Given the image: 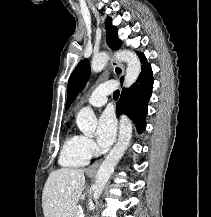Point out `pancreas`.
<instances>
[{
  "label": "pancreas",
  "mask_w": 211,
  "mask_h": 217,
  "mask_svg": "<svg viewBox=\"0 0 211 217\" xmlns=\"http://www.w3.org/2000/svg\"><path fill=\"white\" fill-rule=\"evenodd\" d=\"M79 214H80V209L79 208H75L73 214L71 217H79Z\"/></svg>",
  "instance_id": "obj_1"
}]
</instances>
